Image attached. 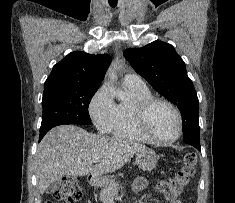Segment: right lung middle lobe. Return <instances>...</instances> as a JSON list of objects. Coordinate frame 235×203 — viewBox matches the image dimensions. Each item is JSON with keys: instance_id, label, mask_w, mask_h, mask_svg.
<instances>
[{"instance_id": "obj_1", "label": "right lung middle lobe", "mask_w": 235, "mask_h": 203, "mask_svg": "<svg viewBox=\"0 0 235 203\" xmlns=\"http://www.w3.org/2000/svg\"><path fill=\"white\" fill-rule=\"evenodd\" d=\"M98 88L81 84L44 88L40 131L64 124H91L88 106Z\"/></svg>"}]
</instances>
